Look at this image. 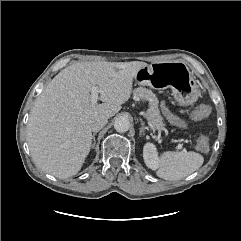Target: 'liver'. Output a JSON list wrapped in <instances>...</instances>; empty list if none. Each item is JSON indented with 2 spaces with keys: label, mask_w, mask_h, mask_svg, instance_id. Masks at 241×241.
<instances>
[{
  "label": "liver",
  "mask_w": 241,
  "mask_h": 241,
  "mask_svg": "<svg viewBox=\"0 0 241 241\" xmlns=\"http://www.w3.org/2000/svg\"><path fill=\"white\" fill-rule=\"evenodd\" d=\"M145 66L140 61L82 62L56 75L37 98L28 121L34 163L60 179L77 174L90 152L91 122L121 110L135 75ZM92 87L100 90L102 104L91 103Z\"/></svg>",
  "instance_id": "liver-1"
}]
</instances>
